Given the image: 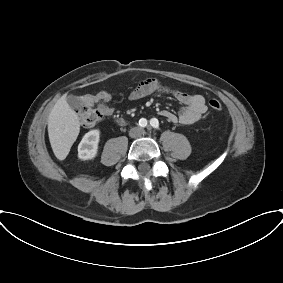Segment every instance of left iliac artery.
Instances as JSON below:
<instances>
[{"label":"left iliac artery","mask_w":283,"mask_h":283,"mask_svg":"<svg viewBox=\"0 0 283 283\" xmlns=\"http://www.w3.org/2000/svg\"><path fill=\"white\" fill-rule=\"evenodd\" d=\"M150 125L155 129H159V121L156 118L150 120Z\"/></svg>","instance_id":"obj_1"}]
</instances>
